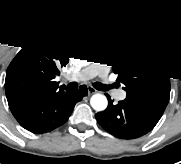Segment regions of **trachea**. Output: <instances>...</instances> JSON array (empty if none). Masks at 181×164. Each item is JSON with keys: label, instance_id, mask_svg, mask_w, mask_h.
Listing matches in <instances>:
<instances>
[{"label": "trachea", "instance_id": "trachea-1", "mask_svg": "<svg viewBox=\"0 0 181 164\" xmlns=\"http://www.w3.org/2000/svg\"><path fill=\"white\" fill-rule=\"evenodd\" d=\"M94 88L98 89V90H106L107 87L104 86L103 84L99 83V82H95L92 84ZM68 87L70 88H77L78 87V83L77 82H71Z\"/></svg>", "mask_w": 181, "mask_h": 164}]
</instances>
